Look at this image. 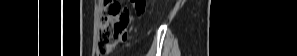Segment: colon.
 I'll use <instances>...</instances> for the list:
<instances>
[{
    "instance_id": "1",
    "label": "colon",
    "mask_w": 297,
    "mask_h": 56,
    "mask_svg": "<svg viewBox=\"0 0 297 56\" xmlns=\"http://www.w3.org/2000/svg\"><path fill=\"white\" fill-rule=\"evenodd\" d=\"M133 7L138 15L142 14L146 7L145 0H132ZM129 10L123 8L118 2L106 0L102 7L99 21L98 50L102 54L113 51L121 42L119 36L126 33L129 24Z\"/></svg>"
}]
</instances>
